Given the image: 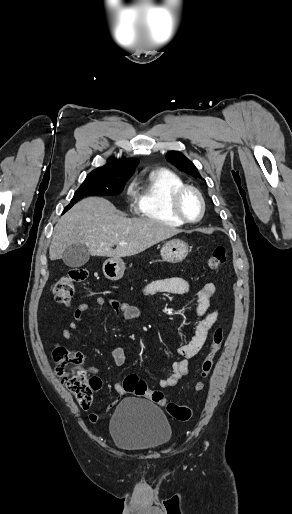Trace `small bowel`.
<instances>
[{
  "mask_svg": "<svg viewBox=\"0 0 292 514\" xmlns=\"http://www.w3.org/2000/svg\"><path fill=\"white\" fill-rule=\"evenodd\" d=\"M191 290V284L187 279L180 277H170L164 279L154 280L142 289L144 295L153 294H186ZM216 292V286L213 283H205L196 294V315L200 319L189 331L188 343L180 346L177 349L178 354L182 357L181 360L176 361L172 365L170 375L162 378L158 382V386L162 389L170 388L180 381V379L190 372V360L193 359L202 346L204 345L209 330L216 323L219 318L220 311L211 302ZM94 306L103 307L108 304L112 310L125 320H139L144 314L141 304H130L126 301L118 299L107 300L103 296H98L93 301ZM91 305L87 302H81L77 305L73 313V320L69 323L68 327L62 332V336L66 340L73 338L75 330L82 322L84 314L90 309ZM111 354L117 366H123L126 361V353L120 346H113ZM93 369H98V366H93ZM96 372V371H95ZM114 389L120 395L125 394L124 388L120 382L114 383ZM121 397L116 395L112 404L117 406ZM109 404L107 409L112 411L114 406Z\"/></svg>",
  "mask_w": 292,
  "mask_h": 514,
  "instance_id": "obj_1",
  "label": "small bowel"
}]
</instances>
